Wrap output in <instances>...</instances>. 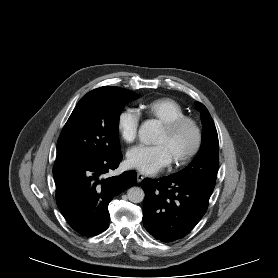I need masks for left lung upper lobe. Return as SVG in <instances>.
Masks as SVG:
<instances>
[{"label": "left lung upper lobe", "mask_w": 278, "mask_h": 278, "mask_svg": "<svg viewBox=\"0 0 278 278\" xmlns=\"http://www.w3.org/2000/svg\"><path fill=\"white\" fill-rule=\"evenodd\" d=\"M201 113L203 136L199 153L183 170L170 175L182 181H194L215 186L219 167V142L213 119L207 108L197 102L196 107Z\"/></svg>", "instance_id": "5c2ea615"}]
</instances>
